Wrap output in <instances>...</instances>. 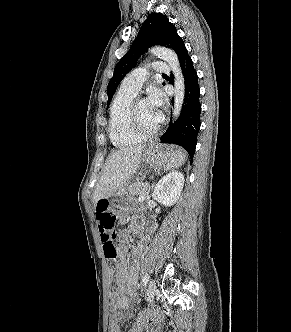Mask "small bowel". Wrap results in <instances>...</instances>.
Instances as JSON below:
<instances>
[{
  "label": "small bowel",
  "instance_id": "obj_1",
  "mask_svg": "<svg viewBox=\"0 0 291 332\" xmlns=\"http://www.w3.org/2000/svg\"><path fill=\"white\" fill-rule=\"evenodd\" d=\"M124 222V219H121ZM134 231L141 235L142 226L134 224L130 229L124 230L120 234L121 244L117 247V257L120 262L115 268L116 289L111 293L110 302L115 311L125 312L127 316H131L128 312L131 300L136 296V281L139 269V261L144 255L146 241L145 237H141L143 243L132 249V262L128 264L126 256L128 253L127 243L130 239L129 234Z\"/></svg>",
  "mask_w": 291,
  "mask_h": 332
}]
</instances>
